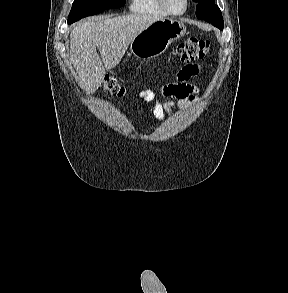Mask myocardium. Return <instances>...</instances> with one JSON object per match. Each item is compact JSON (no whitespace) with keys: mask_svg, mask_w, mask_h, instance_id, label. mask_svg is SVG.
<instances>
[{"mask_svg":"<svg viewBox=\"0 0 288 293\" xmlns=\"http://www.w3.org/2000/svg\"><path fill=\"white\" fill-rule=\"evenodd\" d=\"M159 5L163 8L164 11H166L168 14L173 15V16H180L183 15L189 6V0H185V7L182 11L180 12H175L173 10L170 9V7L167 5L166 0H157Z\"/></svg>","mask_w":288,"mask_h":293,"instance_id":"1","label":"myocardium"}]
</instances>
